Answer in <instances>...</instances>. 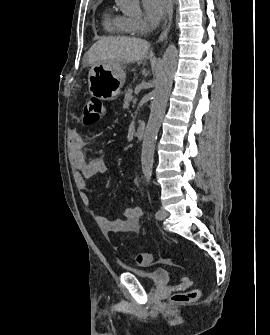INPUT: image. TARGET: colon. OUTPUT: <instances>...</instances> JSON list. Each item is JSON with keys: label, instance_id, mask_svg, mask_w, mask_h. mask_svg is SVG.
I'll list each match as a JSON object with an SVG mask.
<instances>
[{"label": "colon", "instance_id": "5ec220e1", "mask_svg": "<svg viewBox=\"0 0 270 335\" xmlns=\"http://www.w3.org/2000/svg\"><path fill=\"white\" fill-rule=\"evenodd\" d=\"M104 105L97 97H89L83 109L82 118L86 125L91 126L98 123L104 115ZM132 261L136 265L148 266L151 264L152 255L149 252L135 253L131 255ZM198 288H192L186 292L178 293L172 297L175 303H186L198 297Z\"/></svg>", "mask_w": 270, "mask_h": 335}]
</instances>
